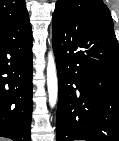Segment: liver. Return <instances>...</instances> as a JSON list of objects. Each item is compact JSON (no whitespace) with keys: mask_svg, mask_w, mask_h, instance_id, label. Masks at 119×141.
Masks as SVG:
<instances>
[{"mask_svg":"<svg viewBox=\"0 0 119 141\" xmlns=\"http://www.w3.org/2000/svg\"><path fill=\"white\" fill-rule=\"evenodd\" d=\"M0 141H6V140H3L2 138H0Z\"/></svg>","mask_w":119,"mask_h":141,"instance_id":"1","label":"liver"}]
</instances>
